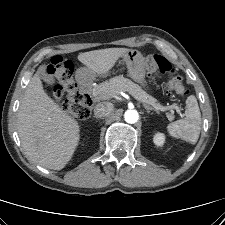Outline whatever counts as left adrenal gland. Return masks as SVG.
<instances>
[{
  "label": "left adrenal gland",
  "instance_id": "obj_1",
  "mask_svg": "<svg viewBox=\"0 0 225 225\" xmlns=\"http://www.w3.org/2000/svg\"><path fill=\"white\" fill-rule=\"evenodd\" d=\"M144 108L147 110L148 113H150V111H155L153 108L149 107L148 105L144 104Z\"/></svg>",
  "mask_w": 225,
  "mask_h": 225
}]
</instances>
